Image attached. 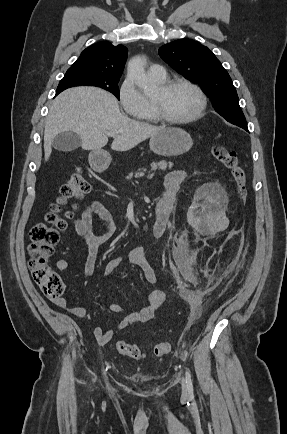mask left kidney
<instances>
[{"label":"left kidney","instance_id":"1","mask_svg":"<svg viewBox=\"0 0 287 434\" xmlns=\"http://www.w3.org/2000/svg\"><path fill=\"white\" fill-rule=\"evenodd\" d=\"M205 202L202 207V211H205L206 208H212V207H218L220 206L221 202L223 201V196L218 188L212 185H205ZM198 206L193 205L187 212V221L190 225L193 227L198 226L200 223V218L196 216L195 211L197 210Z\"/></svg>","mask_w":287,"mask_h":434}]
</instances>
